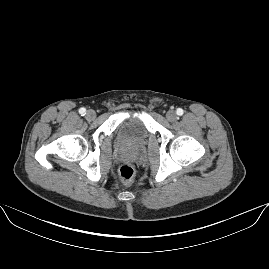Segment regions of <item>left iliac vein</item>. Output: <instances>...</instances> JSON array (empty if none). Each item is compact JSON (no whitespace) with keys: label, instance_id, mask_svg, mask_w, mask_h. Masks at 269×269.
I'll return each instance as SVG.
<instances>
[{"label":"left iliac vein","instance_id":"left-iliac-vein-1","mask_svg":"<svg viewBox=\"0 0 269 269\" xmlns=\"http://www.w3.org/2000/svg\"><path fill=\"white\" fill-rule=\"evenodd\" d=\"M166 118H167V120L170 121V122H174V121H176V119H177L176 112L173 111V110H169V111L167 112V114H166Z\"/></svg>","mask_w":269,"mask_h":269}]
</instances>
